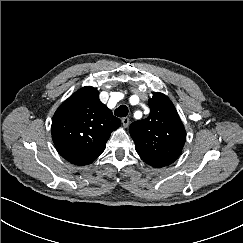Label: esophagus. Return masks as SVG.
Masks as SVG:
<instances>
[{
  "label": "esophagus",
  "instance_id": "34e87169",
  "mask_svg": "<svg viewBox=\"0 0 243 243\" xmlns=\"http://www.w3.org/2000/svg\"><path fill=\"white\" fill-rule=\"evenodd\" d=\"M121 121H122V124H123L124 127H128L129 122H130L128 117L122 118Z\"/></svg>",
  "mask_w": 243,
  "mask_h": 243
}]
</instances>
